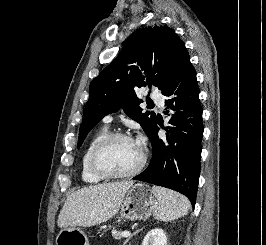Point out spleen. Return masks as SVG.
<instances>
[{"label":"spleen","instance_id":"1","mask_svg":"<svg viewBox=\"0 0 266 245\" xmlns=\"http://www.w3.org/2000/svg\"><path fill=\"white\" fill-rule=\"evenodd\" d=\"M153 195L157 199V207L154 211L155 219L158 221H174L185 217L190 209V201L184 195L163 189V187H153Z\"/></svg>","mask_w":266,"mask_h":245}]
</instances>
